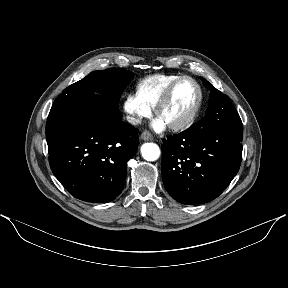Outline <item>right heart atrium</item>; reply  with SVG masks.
<instances>
[{"label":"right heart atrium","mask_w":288,"mask_h":288,"mask_svg":"<svg viewBox=\"0 0 288 288\" xmlns=\"http://www.w3.org/2000/svg\"><path fill=\"white\" fill-rule=\"evenodd\" d=\"M122 107L128 120L133 124H139L152 114V109L145 105L135 93H128L125 96Z\"/></svg>","instance_id":"obj_1"}]
</instances>
